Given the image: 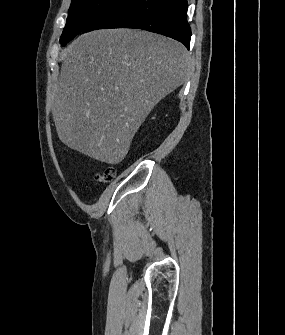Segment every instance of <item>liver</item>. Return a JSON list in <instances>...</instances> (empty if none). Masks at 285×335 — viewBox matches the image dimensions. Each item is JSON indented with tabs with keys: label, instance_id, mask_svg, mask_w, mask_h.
Masks as SVG:
<instances>
[{
	"label": "liver",
	"instance_id": "6515ba94",
	"mask_svg": "<svg viewBox=\"0 0 285 335\" xmlns=\"http://www.w3.org/2000/svg\"><path fill=\"white\" fill-rule=\"evenodd\" d=\"M53 88L59 140L89 158L120 164L148 114L188 78V52L139 30L82 34L62 52Z\"/></svg>",
	"mask_w": 285,
	"mask_h": 335
}]
</instances>
